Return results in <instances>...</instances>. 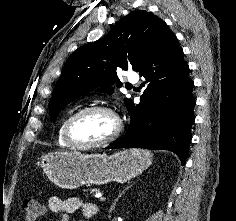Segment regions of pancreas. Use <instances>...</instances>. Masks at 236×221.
<instances>
[{"label": "pancreas", "mask_w": 236, "mask_h": 221, "mask_svg": "<svg viewBox=\"0 0 236 221\" xmlns=\"http://www.w3.org/2000/svg\"><path fill=\"white\" fill-rule=\"evenodd\" d=\"M89 192L90 193H97V192H99V190L96 189V188H92V189L89 190Z\"/></svg>", "instance_id": "pancreas-1"}]
</instances>
